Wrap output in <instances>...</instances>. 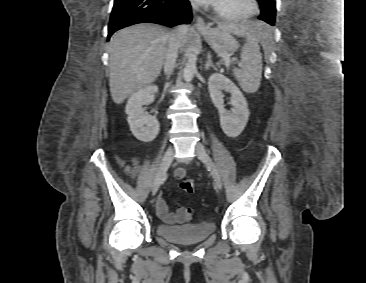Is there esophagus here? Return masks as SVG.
<instances>
[{
  "mask_svg": "<svg viewBox=\"0 0 366 283\" xmlns=\"http://www.w3.org/2000/svg\"><path fill=\"white\" fill-rule=\"evenodd\" d=\"M195 26L200 31H208L209 30V26L204 22V20L200 16H198L196 18Z\"/></svg>",
  "mask_w": 366,
  "mask_h": 283,
  "instance_id": "34e87169",
  "label": "esophagus"
}]
</instances>
